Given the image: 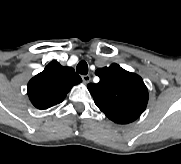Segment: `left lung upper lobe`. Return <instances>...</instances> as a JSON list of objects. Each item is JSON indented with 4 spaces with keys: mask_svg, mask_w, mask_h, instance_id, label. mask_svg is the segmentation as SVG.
<instances>
[{
    "mask_svg": "<svg viewBox=\"0 0 181 164\" xmlns=\"http://www.w3.org/2000/svg\"><path fill=\"white\" fill-rule=\"evenodd\" d=\"M100 81L88 84L97 107L112 121L127 124L146 109L148 90L142 78L113 63L95 71Z\"/></svg>",
    "mask_w": 181,
    "mask_h": 164,
    "instance_id": "left-lung-upper-lobe-1",
    "label": "left lung upper lobe"
}]
</instances>
